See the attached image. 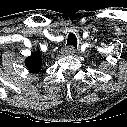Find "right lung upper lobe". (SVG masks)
Segmentation results:
<instances>
[{"label": "right lung upper lobe", "mask_w": 127, "mask_h": 127, "mask_svg": "<svg viewBox=\"0 0 127 127\" xmlns=\"http://www.w3.org/2000/svg\"><path fill=\"white\" fill-rule=\"evenodd\" d=\"M42 58L38 52H35L25 60V65L30 72L38 73L41 69Z\"/></svg>", "instance_id": "obj_1"}]
</instances>
